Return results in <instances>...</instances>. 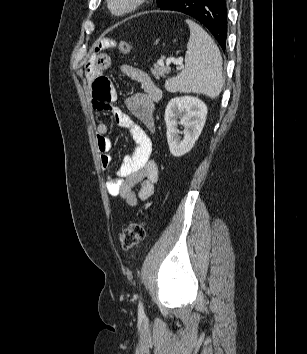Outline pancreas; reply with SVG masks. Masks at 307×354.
Wrapping results in <instances>:
<instances>
[{
  "label": "pancreas",
  "mask_w": 307,
  "mask_h": 354,
  "mask_svg": "<svg viewBox=\"0 0 307 354\" xmlns=\"http://www.w3.org/2000/svg\"><path fill=\"white\" fill-rule=\"evenodd\" d=\"M170 72V69L164 65H159L158 63L154 65V68L151 70L152 75L156 79H160V77H166V75Z\"/></svg>",
  "instance_id": "obj_1"
}]
</instances>
